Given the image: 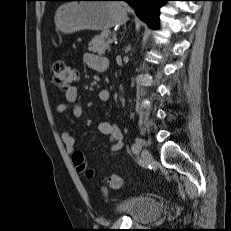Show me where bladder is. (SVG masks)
<instances>
[{"label": "bladder", "instance_id": "bladder-1", "mask_svg": "<svg viewBox=\"0 0 231 231\" xmlns=\"http://www.w3.org/2000/svg\"><path fill=\"white\" fill-rule=\"evenodd\" d=\"M114 209L117 213L129 216L133 222L142 224L154 221L162 212L157 200L138 196L122 199Z\"/></svg>", "mask_w": 231, "mask_h": 231}]
</instances>
